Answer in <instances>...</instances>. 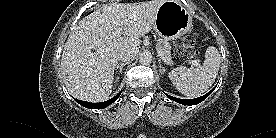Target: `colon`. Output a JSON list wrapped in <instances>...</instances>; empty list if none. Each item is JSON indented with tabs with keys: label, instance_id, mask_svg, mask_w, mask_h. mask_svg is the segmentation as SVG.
<instances>
[{
	"label": "colon",
	"instance_id": "colon-1",
	"mask_svg": "<svg viewBox=\"0 0 276 138\" xmlns=\"http://www.w3.org/2000/svg\"><path fill=\"white\" fill-rule=\"evenodd\" d=\"M196 37L185 36L179 40L175 49V60L178 63H183L198 55L199 51L195 48Z\"/></svg>",
	"mask_w": 276,
	"mask_h": 138
}]
</instances>
